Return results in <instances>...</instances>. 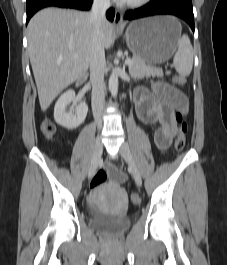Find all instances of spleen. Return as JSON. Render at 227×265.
<instances>
[{
	"label": "spleen",
	"instance_id": "spleen-1",
	"mask_svg": "<svg viewBox=\"0 0 227 265\" xmlns=\"http://www.w3.org/2000/svg\"><path fill=\"white\" fill-rule=\"evenodd\" d=\"M173 63L176 71L182 76H188L193 66V48L187 35L178 40V49L174 56Z\"/></svg>",
	"mask_w": 227,
	"mask_h": 265
}]
</instances>
